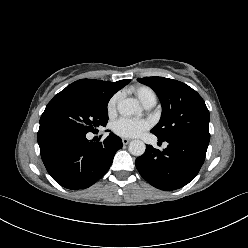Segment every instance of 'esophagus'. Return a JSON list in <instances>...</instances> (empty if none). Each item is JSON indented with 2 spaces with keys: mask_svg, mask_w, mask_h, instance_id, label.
<instances>
[{
  "mask_svg": "<svg viewBox=\"0 0 248 248\" xmlns=\"http://www.w3.org/2000/svg\"><path fill=\"white\" fill-rule=\"evenodd\" d=\"M130 141H131V140L128 139V138H122V143H123L124 145H127Z\"/></svg>",
  "mask_w": 248,
  "mask_h": 248,
  "instance_id": "1",
  "label": "esophagus"
}]
</instances>
